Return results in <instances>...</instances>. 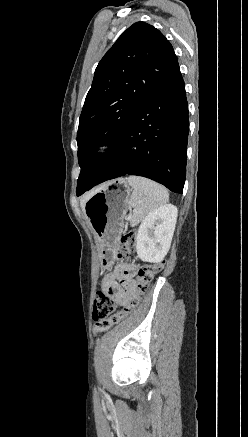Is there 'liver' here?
I'll list each match as a JSON object with an SVG mask.
<instances>
[{
	"label": "liver",
	"instance_id": "1",
	"mask_svg": "<svg viewBox=\"0 0 248 437\" xmlns=\"http://www.w3.org/2000/svg\"><path fill=\"white\" fill-rule=\"evenodd\" d=\"M86 199H87V197L84 198L83 200H81V205H82V209H83V210H84V203H85Z\"/></svg>",
	"mask_w": 248,
	"mask_h": 437
}]
</instances>
